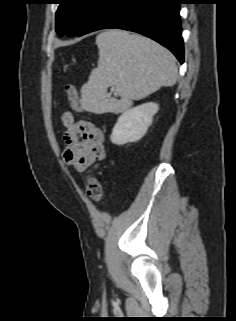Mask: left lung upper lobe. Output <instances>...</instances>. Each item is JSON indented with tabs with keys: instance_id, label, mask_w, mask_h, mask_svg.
<instances>
[{
	"instance_id": "1",
	"label": "left lung upper lobe",
	"mask_w": 236,
	"mask_h": 321,
	"mask_svg": "<svg viewBox=\"0 0 236 321\" xmlns=\"http://www.w3.org/2000/svg\"><path fill=\"white\" fill-rule=\"evenodd\" d=\"M104 0H59L56 31L62 35H77Z\"/></svg>"
}]
</instances>
